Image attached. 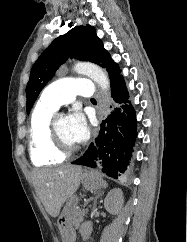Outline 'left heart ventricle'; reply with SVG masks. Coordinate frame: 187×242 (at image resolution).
I'll return each instance as SVG.
<instances>
[{"label":"left heart ventricle","instance_id":"left-heart-ventricle-1","mask_svg":"<svg viewBox=\"0 0 187 242\" xmlns=\"http://www.w3.org/2000/svg\"><path fill=\"white\" fill-rule=\"evenodd\" d=\"M56 130L59 140L65 148H73L76 146V143L71 139L68 132L67 118L60 117L57 120Z\"/></svg>","mask_w":187,"mask_h":242}]
</instances>
